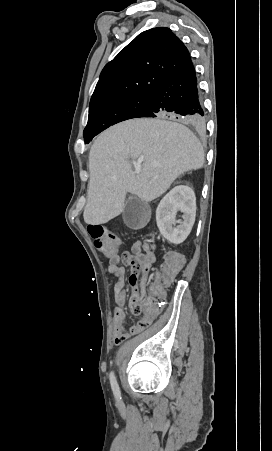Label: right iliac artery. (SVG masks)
<instances>
[{"label": "right iliac artery", "mask_w": 272, "mask_h": 451, "mask_svg": "<svg viewBox=\"0 0 272 451\" xmlns=\"http://www.w3.org/2000/svg\"><path fill=\"white\" fill-rule=\"evenodd\" d=\"M110 383L115 397L121 399V392L113 372L110 373Z\"/></svg>", "instance_id": "1"}]
</instances>
